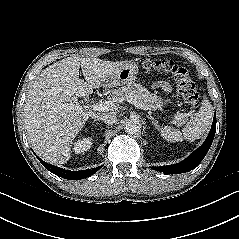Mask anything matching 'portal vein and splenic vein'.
<instances>
[{
  "label": "portal vein and splenic vein",
  "mask_w": 239,
  "mask_h": 239,
  "mask_svg": "<svg viewBox=\"0 0 239 239\" xmlns=\"http://www.w3.org/2000/svg\"><path fill=\"white\" fill-rule=\"evenodd\" d=\"M130 104H133L135 107L142 109V110H151L147 106H145L142 103L137 102V100L133 99L132 97L127 100ZM85 109L91 108L94 111H110L115 108V104L112 101H105L101 103H96L89 106H84ZM80 109H83L82 106H80ZM183 117V114H177L175 116L174 124H177V122Z\"/></svg>",
  "instance_id": "portal-vein-and-splenic-vein-1"
}]
</instances>
